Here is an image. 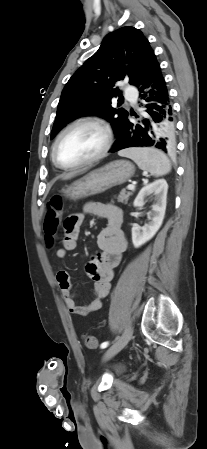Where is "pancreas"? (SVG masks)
<instances>
[{"instance_id":"1","label":"pancreas","mask_w":207,"mask_h":449,"mask_svg":"<svg viewBox=\"0 0 207 449\" xmlns=\"http://www.w3.org/2000/svg\"><path fill=\"white\" fill-rule=\"evenodd\" d=\"M132 192H126L124 189L118 195V202L126 204Z\"/></svg>"}]
</instances>
